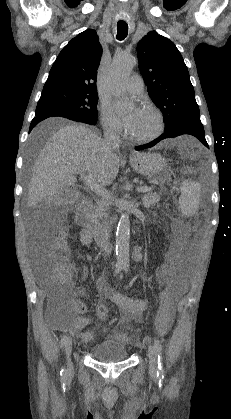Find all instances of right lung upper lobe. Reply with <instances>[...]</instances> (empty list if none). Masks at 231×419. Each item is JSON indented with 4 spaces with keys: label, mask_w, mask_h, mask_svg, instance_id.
I'll use <instances>...</instances> for the list:
<instances>
[{
    "label": "right lung upper lobe",
    "mask_w": 231,
    "mask_h": 419,
    "mask_svg": "<svg viewBox=\"0 0 231 419\" xmlns=\"http://www.w3.org/2000/svg\"><path fill=\"white\" fill-rule=\"evenodd\" d=\"M102 47L95 30L78 34L62 49L44 85L97 92V69Z\"/></svg>",
    "instance_id": "obj_1"
}]
</instances>
